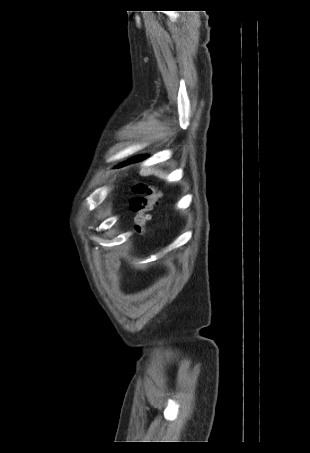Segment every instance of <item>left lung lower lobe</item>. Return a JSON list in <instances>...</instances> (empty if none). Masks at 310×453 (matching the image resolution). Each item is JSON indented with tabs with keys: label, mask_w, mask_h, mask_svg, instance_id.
I'll return each mask as SVG.
<instances>
[{
	"label": "left lung lower lobe",
	"mask_w": 310,
	"mask_h": 453,
	"mask_svg": "<svg viewBox=\"0 0 310 453\" xmlns=\"http://www.w3.org/2000/svg\"><path fill=\"white\" fill-rule=\"evenodd\" d=\"M143 159H145V157H137V158H134V159L130 160L128 164L134 163V162H138V161H141Z\"/></svg>",
	"instance_id": "obj_1"
}]
</instances>
